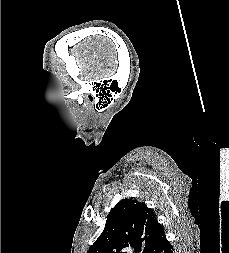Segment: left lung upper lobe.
Here are the masks:
<instances>
[{
    "label": "left lung upper lobe",
    "instance_id": "obj_1",
    "mask_svg": "<svg viewBox=\"0 0 229 253\" xmlns=\"http://www.w3.org/2000/svg\"><path fill=\"white\" fill-rule=\"evenodd\" d=\"M165 237L151 208L134 199L119 201L107 217L102 234L88 253H154Z\"/></svg>",
    "mask_w": 229,
    "mask_h": 253
}]
</instances>
